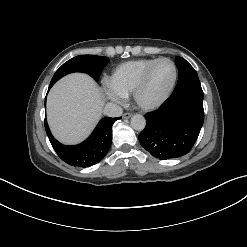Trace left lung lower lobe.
<instances>
[{
    "mask_svg": "<svg viewBox=\"0 0 247 247\" xmlns=\"http://www.w3.org/2000/svg\"><path fill=\"white\" fill-rule=\"evenodd\" d=\"M145 118L146 126L138 137L143 148L161 160L187 154L204 122L201 85L175 88L171 97Z\"/></svg>",
    "mask_w": 247,
    "mask_h": 247,
    "instance_id": "obj_1",
    "label": "left lung lower lobe"
}]
</instances>
